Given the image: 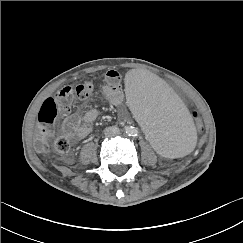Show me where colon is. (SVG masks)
<instances>
[{
    "label": "colon",
    "instance_id": "5ec220e1",
    "mask_svg": "<svg viewBox=\"0 0 243 243\" xmlns=\"http://www.w3.org/2000/svg\"><path fill=\"white\" fill-rule=\"evenodd\" d=\"M93 91L94 87L90 82H83L75 87H64L57 91L53 97L43 102L38 114V125L34 133V146L37 150H45L48 147L49 140L54 137V123L57 116L68 113L77 101L91 97ZM187 109L194 120L196 139L202 142L205 139L202 115L197 107L192 104H189ZM53 146L56 151L66 153L70 149V142L65 137H56Z\"/></svg>",
    "mask_w": 243,
    "mask_h": 243
}]
</instances>
